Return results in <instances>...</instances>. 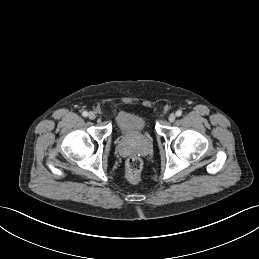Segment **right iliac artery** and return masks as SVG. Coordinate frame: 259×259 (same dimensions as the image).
Segmentation results:
<instances>
[{
    "label": "right iliac artery",
    "mask_w": 259,
    "mask_h": 259,
    "mask_svg": "<svg viewBox=\"0 0 259 259\" xmlns=\"http://www.w3.org/2000/svg\"><path fill=\"white\" fill-rule=\"evenodd\" d=\"M82 115H83L84 117H87V116H88V112H87V111H84V112L82 113Z\"/></svg>",
    "instance_id": "1"
}]
</instances>
